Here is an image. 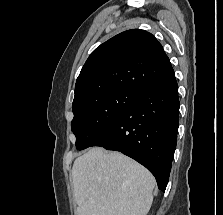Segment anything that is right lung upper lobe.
<instances>
[{"label": "right lung upper lobe", "mask_w": 223, "mask_h": 215, "mask_svg": "<svg viewBox=\"0 0 223 215\" xmlns=\"http://www.w3.org/2000/svg\"><path fill=\"white\" fill-rule=\"evenodd\" d=\"M174 77L158 40L147 31L128 30L91 53L77 78L72 108L116 90L139 95Z\"/></svg>", "instance_id": "cb5924a9"}]
</instances>
